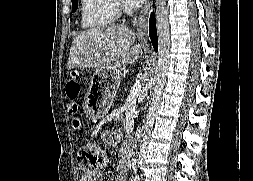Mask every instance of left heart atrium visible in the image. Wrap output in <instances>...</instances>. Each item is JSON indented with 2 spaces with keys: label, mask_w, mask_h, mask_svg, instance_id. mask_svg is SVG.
<instances>
[{
  "label": "left heart atrium",
  "mask_w": 253,
  "mask_h": 181,
  "mask_svg": "<svg viewBox=\"0 0 253 181\" xmlns=\"http://www.w3.org/2000/svg\"><path fill=\"white\" fill-rule=\"evenodd\" d=\"M146 0H125V4L129 8H139L143 5Z\"/></svg>",
  "instance_id": "obj_1"
}]
</instances>
